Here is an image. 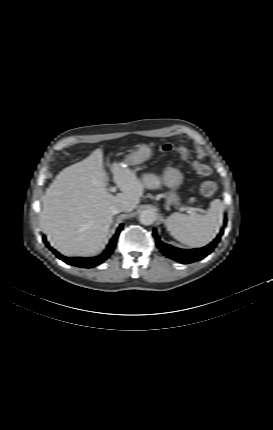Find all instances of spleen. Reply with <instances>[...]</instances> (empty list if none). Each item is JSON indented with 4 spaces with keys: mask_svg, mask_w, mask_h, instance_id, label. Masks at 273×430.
Segmentation results:
<instances>
[{
    "mask_svg": "<svg viewBox=\"0 0 273 430\" xmlns=\"http://www.w3.org/2000/svg\"><path fill=\"white\" fill-rule=\"evenodd\" d=\"M223 203L215 199L204 215L173 213L166 220V228L179 242L202 247L213 240L222 224Z\"/></svg>",
    "mask_w": 273,
    "mask_h": 430,
    "instance_id": "obj_1",
    "label": "spleen"
}]
</instances>
